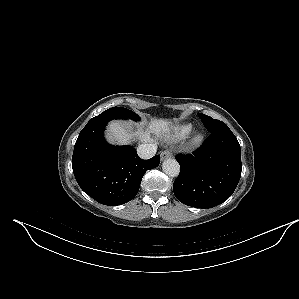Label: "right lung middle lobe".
<instances>
[{"mask_svg": "<svg viewBox=\"0 0 299 299\" xmlns=\"http://www.w3.org/2000/svg\"><path fill=\"white\" fill-rule=\"evenodd\" d=\"M104 112L110 113V114H115L118 117L123 118V119L129 118V119H132L135 121L139 120V116L136 113H134L133 111H131L129 109L122 108V107H113Z\"/></svg>", "mask_w": 299, "mask_h": 299, "instance_id": "dd1d6c3e", "label": "right lung middle lobe"}]
</instances>
